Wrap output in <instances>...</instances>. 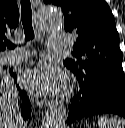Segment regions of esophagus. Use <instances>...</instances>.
<instances>
[{
    "mask_svg": "<svg viewBox=\"0 0 125 128\" xmlns=\"http://www.w3.org/2000/svg\"><path fill=\"white\" fill-rule=\"evenodd\" d=\"M36 104L39 107H47L49 105V102L47 100L36 98Z\"/></svg>",
    "mask_w": 125,
    "mask_h": 128,
    "instance_id": "34e87169",
    "label": "esophagus"
}]
</instances>
